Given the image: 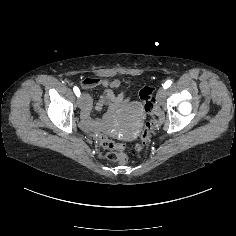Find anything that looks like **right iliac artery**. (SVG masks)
<instances>
[{
    "instance_id": "right-iliac-artery-1",
    "label": "right iliac artery",
    "mask_w": 236,
    "mask_h": 236,
    "mask_svg": "<svg viewBox=\"0 0 236 236\" xmlns=\"http://www.w3.org/2000/svg\"><path fill=\"white\" fill-rule=\"evenodd\" d=\"M73 90H74V93L76 94V96L79 97V96H80V90H79V88L75 86V87L73 88Z\"/></svg>"
}]
</instances>
